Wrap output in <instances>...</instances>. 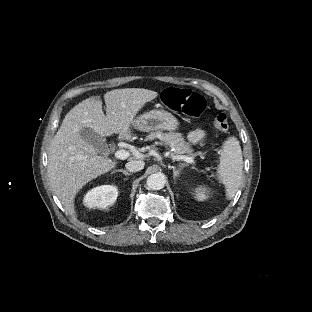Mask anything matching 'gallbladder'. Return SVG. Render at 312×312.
<instances>
[{
  "label": "gallbladder",
  "mask_w": 312,
  "mask_h": 312,
  "mask_svg": "<svg viewBox=\"0 0 312 312\" xmlns=\"http://www.w3.org/2000/svg\"><path fill=\"white\" fill-rule=\"evenodd\" d=\"M80 136L85 142L92 145L98 153L102 155H108L110 153V149L106 144L105 139L92 128L86 127L81 129Z\"/></svg>",
  "instance_id": "1"
}]
</instances>
